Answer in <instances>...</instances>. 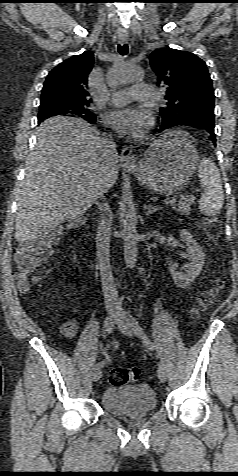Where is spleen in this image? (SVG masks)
Returning a JSON list of instances; mask_svg holds the SVG:
<instances>
[{
	"label": "spleen",
	"mask_w": 238,
	"mask_h": 476,
	"mask_svg": "<svg viewBox=\"0 0 238 476\" xmlns=\"http://www.w3.org/2000/svg\"><path fill=\"white\" fill-rule=\"evenodd\" d=\"M198 177L204 188L199 200L200 210L208 215L218 214L224 204V194L219 170L210 158L202 159Z\"/></svg>",
	"instance_id": "obj_1"
}]
</instances>
